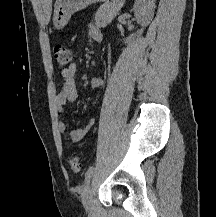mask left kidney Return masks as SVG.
I'll list each match as a JSON object with an SVG mask.
<instances>
[{"instance_id":"obj_1","label":"left kidney","mask_w":216,"mask_h":217,"mask_svg":"<svg viewBox=\"0 0 216 217\" xmlns=\"http://www.w3.org/2000/svg\"><path fill=\"white\" fill-rule=\"evenodd\" d=\"M155 0H136L134 4V16L142 29L137 31L138 35L143 33L144 28L151 22L154 16ZM134 37L124 40L125 44H130Z\"/></svg>"}]
</instances>
